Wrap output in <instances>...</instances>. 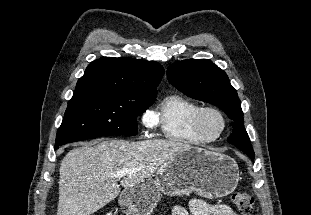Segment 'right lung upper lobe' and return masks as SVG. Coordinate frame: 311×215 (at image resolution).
Instances as JSON below:
<instances>
[{"label":"right lung upper lobe","mask_w":311,"mask_h":215,"mask_svg":"<svg viewBox=\"0 0 311 215\" xmlns=\"http://www.w3.org/2000/svg\"><path fill=\"white\" fill-rule=\"evenodd\" d=\"M164 68L155 61L102 57L92 61L76 89H101L137 96H156Z\"/></svg>","instance_id":"obj_1"}]
</instances>
